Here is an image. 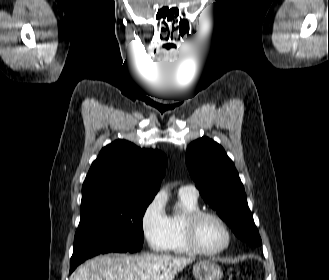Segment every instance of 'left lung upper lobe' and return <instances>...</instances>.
Returning a JSON list of instances; mask_svg holds the SVG:
<instances>
[{
    "label": "left lung upper lobe",
    "instance_id": "obj_1",
    "mask_svg": "<svg viewBox=\"0 0 329 280\" xmlns=\"http://www.w3.org/2000/svg\"><path fill=\"white\" fill-rule=\"evenodd\" d=\"M186 164L205 202L228 222L235 235L261 245L243 184L224 149L212 139L202 137L188 146Z\"/></svg>",
    "mask_w": 329,
    "mask_h": 280
}]
</instances>
